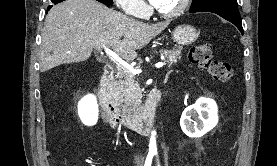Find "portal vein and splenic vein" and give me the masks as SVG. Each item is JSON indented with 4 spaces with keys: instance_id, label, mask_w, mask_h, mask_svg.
I'll return each instance as SVG.
<instances>
[{
    "instance_id": "1",
    "label": "portal vein and splenic vein",
    "mask_w": 277,
    "mask_h": 166,
    "mask_svg": "<svg viewBox=\"0 0 277 166\" xmlns=\"http://www.w3.org/2000/svg\"><path fill=\"white\" fill-rule=\"evenodd\" d=\"M106 55L114 62L118 67H121L123 69L128 70L132 74L140 73V70L134 69L130 64H128L126 61H124L119 55H117L115 52H113L109 48H105ZM165 65L163 62H159L155 65L156 68H161Z\"/></svg>"
}]
</instances>
